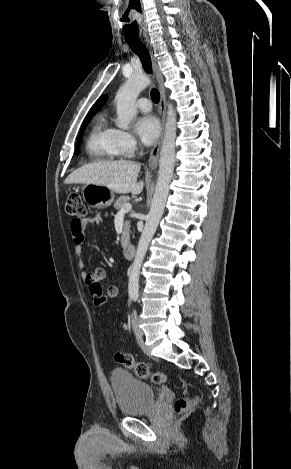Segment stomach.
Segmentation results:
<instances>
[{
	"label": "stomach",
	"instance_id": "stomach-1",
	"mask_svg": "<svg viewBox=\"0 0 291 469\" xmlns=\"http://www.w3.org/2000/svg\"><path fill=\"white\" fill-rule=\"evenodd\" d=\"M84 201L93 208L102 209L110 206L114 192L106 186L87 184L82 191Z\"/></svg>",
	"mask_w": 291,
	"mask_h": 469
}]
</instances>
